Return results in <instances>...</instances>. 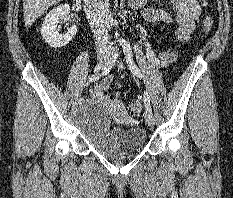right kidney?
Listing matches in <instances>:
<instances>
[{
    "mask_svg": "<svg viewBox=\"0 0 233 198\" xmlns=\"http://www.w3.org/2000/svg\"><path fill=\"white\" fill-rule=\"evenodd\" d=\"M70 13V6L62 4L52 9L45 17L41 28L43 39L53 48H60L67 45L76 35L77 27L73 25L64 34H60L57 24L60 19L67 17Z\"/></svg>",
    "mask_w": 233,
    "mask_h": 198,
    "instance_id": "right-kidney-1",
    "label": "right kidney"
}]
</instances>
